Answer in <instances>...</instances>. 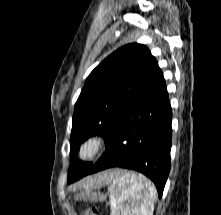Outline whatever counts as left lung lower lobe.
I'll use <instances>...</instances> for the list:
<instances>
[{
    "label": "left lung lower lobe",
    "instance_id": "0a47b994",
    "mask_svg": "<svg viewBox=\"0 0 221 215\" xmlns=\"http://www.w3.org/2000/svg\"><path fill=\"white\" fill-rule=\"evenodd\" d=\"M171 120L165 79L156 62L142 88L119 113L106 151L86 175L112 167L136 170L154 182L161 198L171 166Z\"/></svg>",
    "mask_w": 221,
    "mask_h": 215
}]
</instances>
